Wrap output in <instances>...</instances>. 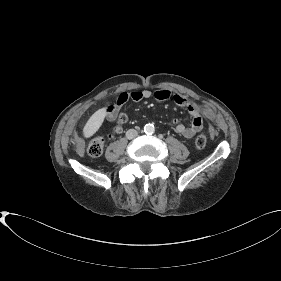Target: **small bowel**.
Wrapping results in <instances>:
<instances>
[{"instance_id": "1", "label": "small bowel", "mask_w": 281, "mask_h": 281, "mask_svg": "<svg viewBox=\"0 0 281 281\" xmlns=\"http://www.w3.org/2000/svg\"><path fill=\"white\" fill-rule=\"evenodd\" d=\"M151 97H154L158 101L172 99L176 105L185 107L189 111L190 115L192 116V122L190 125L187 126L177 119L172 120L174 131L177 134L189 139L194 137L203 129L204 118L202 108L197 103L189 100L186 96L180 93H172L167 89H158L156 91L145 89L132 92H123L118 96L114 104L107 107L106 118L109 121H114L118 116L119 110L128 101L139 102L143 99H149Z\"/></svg>"}]
</instances>
